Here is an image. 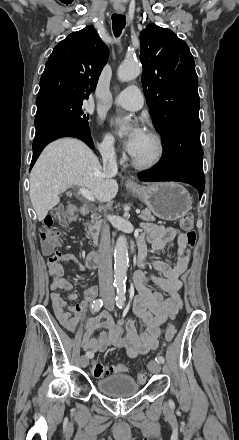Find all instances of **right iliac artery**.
Wrapping results in <instances>:
<instances>
[{"label": "right iliac artery", "mask_w": 239, "mask_h": 440, "mask_svg": "<svg viewBox=\"0 0 239 440\" xmlns=\"http://www.w3.org/2000/svg\"><path fill=\"white\" fill-rule=\"evenodd\" d=\"M102 305H103V300H102V299H96V300H94L93 303H92V309H93V311H94V312L99 311L100 308L102 307ZM86 356H87L88 358H92V357H93V354H91L90 352H86Z\"/></svg>", "instance_id": "82829eb1"}]
</instances>
